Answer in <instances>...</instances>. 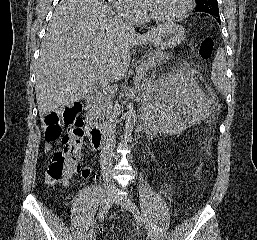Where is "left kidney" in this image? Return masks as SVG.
Masks as SVG:
<instances>
[{
  "mask_svg": "<svg viewBox=\"0 0 257 240\" xmlns=\"http://www.w3.org/2000/svg\"><path fill=\"white\" fill-rule=\"evenodd\" d=\"M147 119L160 134H177L206 115V98L189 76L177 73L150 83L146 95Z\"/></svg>",
  "mask_w": 257,
  "mask_h": 240,
  "instance_id": "left-kidney-1",
  "label": "left kidney"
}]
</instances>
